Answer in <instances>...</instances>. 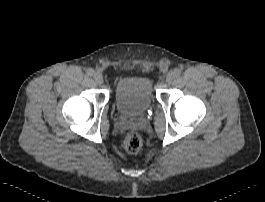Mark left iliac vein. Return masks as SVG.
<instances>
[{
	"label": "left iliac vein",
	"mask_w": 265,
	"mask_h": 202,
	"mask_svg": "<svg viewBox=\"0 0 265 202\" xmlns=\"http://www.w3.org/2000/svg\"><path fill=\"white\" fill-rule=\"evenodd\" d=\"M174 78H175L174 71H169L166 75V83L171 84Z\"/></svg>",
	"instance_id": "4c4485c4"
}]
</instances>
